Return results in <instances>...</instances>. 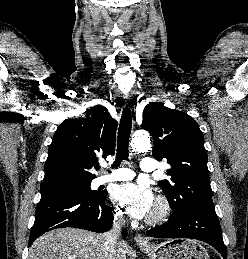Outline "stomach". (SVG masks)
I'll use <instances>...</instances> for the list:
<instances>
[{
	"label": "stomach",
	"instance_id": "stomach-1",
	"mask_svg": "<svg viewBox=\"0 0 248 259\" xmlns=\"http://www.w3.org/2000/svg\"><path fill=\"white\" fill-rule=\"evenodd\" d=\"M139 247L151 259H209L206 249L191 239H172L157 245Z\"/></svg>",
	"mask_w": 248,
	"mask_h": 259
}]
</instances>
